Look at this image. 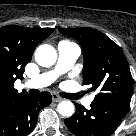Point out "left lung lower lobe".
<instances>
[{
    "label": "left lung lower lobe",
    "instance_id": "0a47b994",
    "mask_svg": "<svg viewBox=\"0 0 136 136\" xmlns=\"http://www.w3.org/2000/svg\"><path fill=\"white\" fill-rule=\"evenodd\" d=\"M76 105L75 114L64 120L76 136H109L120 124L127 109L121 106L93 101L91 109Z\"/></svg>",
    "mask_w": 136,
    "mask_h": 136
}]
</instances>
